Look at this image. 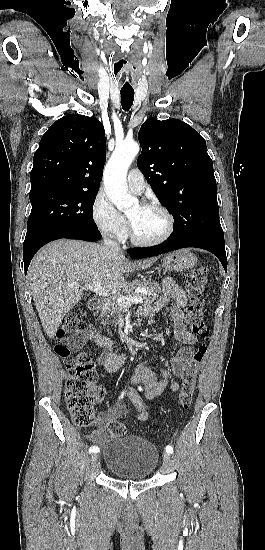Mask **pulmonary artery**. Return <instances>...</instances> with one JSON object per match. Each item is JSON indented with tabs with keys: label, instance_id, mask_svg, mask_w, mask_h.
I'll use <instances>...</instances> for the list:
<instances>
[{
	"label": "pulmonary artery",
	"instance_id": "e3ab8cb5",
	"mask_svg": "<svg viewBox=\"0 0 265 550\" xmlns=\"http://www.w3.org/2000/svg\"><path fill=\"white\" fill-rule=\"evenodd\" d=\"M127 186L134 194H141L145 189V180L141 172L137 169H132L127 175Z\"/></svg>",
	"mask_w": 265,
	"mask_h": 550
}]
</instances>
